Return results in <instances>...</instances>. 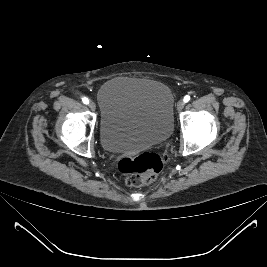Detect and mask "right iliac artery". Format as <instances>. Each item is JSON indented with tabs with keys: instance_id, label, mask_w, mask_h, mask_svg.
I'll list each match as a JSON object with an SVG mask.
<instances>
[{
	"instance_id": "right-iliac-artery-1",
	"label": "right iliac artery",
	"mask_w": 267,
	"mask_h": 267,
	"mask_svg": "<svg viewBox=\"0 0 267 267\" xmlns=\"http://www.w3.org/2000/svg\"><path fill=\"white\" fill-rule=\"evenodd\" d=\"M83 103L84 104H88L89 103V100L87 98H83Z\"/></svg>"
}]
</instances>
